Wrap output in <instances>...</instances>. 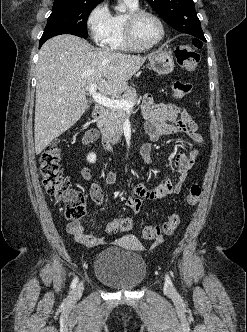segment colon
Returning <instances> with one entry per match:
<instances>
[{
  "instance_id": "5ec220e1",
  "label": "colon",
  "mask_w": 247,
  "mask_h": 332,
  "mask_svg": "<svg viewBox=\"0 0 247 332\" xmlns=\"http://www.w3.org/2000/svg\"><path fill=\"white\" fill-rule=\"evenodd\" d=\"M202 43L193 40L189 45H181L176 51L178 64L189 72H194L199 64V50ZM172 96L181 99L192 90V85L184 81H175L172 84ZM61 148L58 141L51 142L40 155V173L46 192L56 201L64 203V214L67 220L78 221L86 215V203L84 194L73 188L71 180L63 172L60 165ZM201 187L192 184L189 187L187 201L196 204L201 198ZM180 224V216L173 212L161 225L146 227L143 236L147 240H160L163 236L172 235ZM132 220L119 218L111 221L106 226L108 233L127 232L132 228Z\"/></svg>"
}]
</instances>
